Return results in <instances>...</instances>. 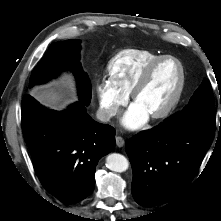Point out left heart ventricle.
<instances>
[{
    "instance_id": "1",
    "label": "left heart ventricle",
    "mask_w": 221,
    "mask_h": 221,
    "mask_svg": "<svg viewBox=\"0 0 221 221\" xmlns=\"http://www.w3.org/2000/svg\"><path fill=\"white\" fill-rule=\"evenodd\" d=\"M180 79L177 63L166 60L158 65L148 84L139 93L135 103L140 105L149 115L165 107L174 96Z\"/></svg>"
}]
</instances>
